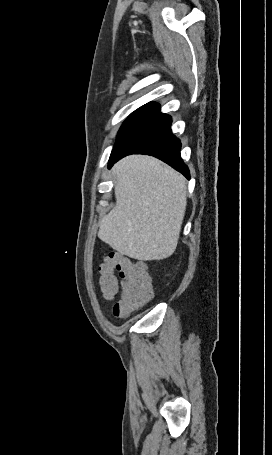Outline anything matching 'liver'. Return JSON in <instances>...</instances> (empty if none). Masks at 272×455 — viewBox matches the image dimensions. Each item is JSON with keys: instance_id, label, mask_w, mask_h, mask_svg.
Segmentation results:
<instances>
[{"instance_id": "6515ba94", "label": "liver", "mask_w": 272, "mask_h": 455, "mask_svg": "<svg viewBox=\"0 0 272 455\" xmlns=\"http://www.w3.org/2000/svg\"><path fill=\"white\" fill-rule=\"evenodd\" d=\"M113 172L116 205L101 219L98 237L130 258H168L177 247L187 205L184 177L142 155L125 157Z\"/></svg>"}]
</instances>
